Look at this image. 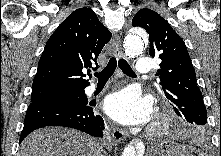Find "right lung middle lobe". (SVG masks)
Masks as SVG:
<instances>
[{
    "label": "right lung middle lobe",
    "mask_w": 221,
    "mask_h": 156,
    "mask_svg": "<svg viewBox=\"0 0 221 156\" xmlns=\"http://www.w3.org/2000/svg\"><path fill=\"white\" fill-rule=\"evenodd\" d=\"M55 103V104H69V105H85L88 99L84 90L63 93L58 95L49 96L39 100L32 101V103Z\"/></svg>",
    "instance_id": "right-lung-middle-lobe-1"
}]
</instances>
